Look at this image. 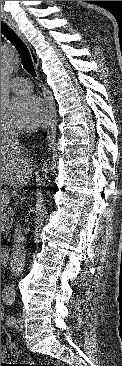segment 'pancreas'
<instances>
[{
    "mask_svg": "<svg viewBox=\"0 0 122 366\" xmlns=\"http://www.w3.org/2000/svg\"><path fill=\"white\" fill-rule=\"evenodd\" d=\"M9 194L6 189H1V233L8 234L9 223H6L7 213L3 210L8 206Z\"/></svg>",
    "mask_w": 122,
    "mask_h": 366,
    "instance_id": "cf45deb5",
    "label": "pancreas"
}]
</instances>
